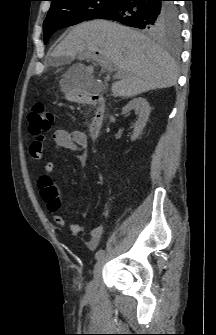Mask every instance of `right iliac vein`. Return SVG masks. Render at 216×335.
I'll return each mask as SVG.
<instances>
[{
    "mask_svg": "<svg viewBox=\"0 0 216 335\" xmlns=\"http://www.w3.org/2000/svg\"><path fill=\"white\" fill-rule=\"evenodd\" d=\"M107 260H108V254H104L96 262L94 269H93V278L88 284L87 291H86V294L88 297H92L95 294L97 285H98L99 274Z\"/></svg>",
    "mask_w": 216,
    "mask_h": 335,
    "instance_id": "63e3f726",
    "label": "right iliac vein"
}]
</instances>
